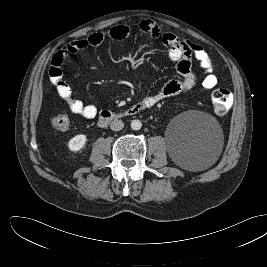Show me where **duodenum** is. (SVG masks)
I'll list each match as a JSON object with an SVG mask.
<instances>
[{
  "instance_id": "duodenum-1",
  "label": "duodenum",
  "mask_w": 267,
  "mask_h": 267,
  "mask_svg": "<svg viewBox=\"0 0 267 267\" xmlns=\"http://www.w3.org/2000/svg\"><path fill=\"white\" fill-rule=\"evenodd\" d=\"M148 109V106L142 102L137 103L130 107L129 109L123 112H116L110 110H102L98 117V124L101 126L107 125L108 123L119 120L128 116H133L138 114L139 112Z\"/></svg>"
}]
</instances>
